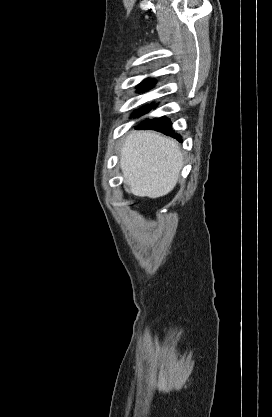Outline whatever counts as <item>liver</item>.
Masks as SVG:
<instances>
[{"mask_svg": "<svg viewBox=\"0 0 272 417\" xmlns=\"http://www.w3.org/2000/svg\"><path fill=\"white\" fill-rule=\"evenodd\" d=\"M119 163L135 195L159 198L175 187L183 154L171 138L153 131H133L123 143Z\"/></svg>", "mask_w": 272, "mask_h": 417, "instance_id": "6515ba94", "label": "liver"}]
</instances>
